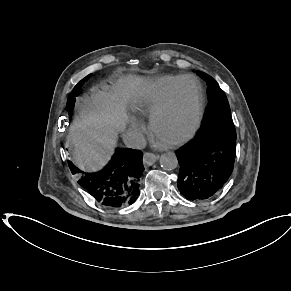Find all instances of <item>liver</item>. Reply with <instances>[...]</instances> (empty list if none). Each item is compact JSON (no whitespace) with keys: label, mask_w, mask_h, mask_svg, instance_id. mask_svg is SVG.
I'll return each mask as SVG.
<instances>
[{"label":"liver","mask_w":291,"mask_h":291,"mask_svg":"<svg viewBox=\"0 0 291 291\" xmlns=\"http://www.w3.org/2000/svg\"><path fill=\"white\" fill-rule=\"evenodd\" d=\"M146 84L145 78L129 75L96 91L80 105L79 115L69 128L72 160L80 169L97 171L110 159L117 133L125 129L128 119L126 102Z\"/></svg>","instance_id":"1"}]
</instances>
